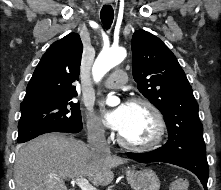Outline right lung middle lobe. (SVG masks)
Here are the masks:
<instances>
[{
  "mask_svg": "<svg viewBox=\"0 0 221 190\" xmlns=\"http://www.w3.org/2000/svg\"><path fill=\"white\" fill-rule=\"evenodd\" d=\"M73 98L41 101L20 106L21 118L18 124V143L31 140L50 132L78 133L82 118L79 103Z\"/></svg>",
  "mask_w": 221,
  "mask_h": 190,
  "instance_id": "dd1d6c3e",
  "label": "right lung middle lobe"
}]
</instances>
